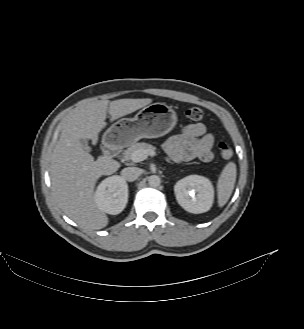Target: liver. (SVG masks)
Returning <instances> with one entry per match:
<instances>
[{
    "instance_id": "1",
    "label": "liver",
    "mask_w": 304,
    "mask_h": 329,
    "mask_svg": "<svg viewBox=\"0 0 304 329\" xmlns=\"http://www.w3.org/2000/svg\"><path fill=\"white\" fill-rule=\"evenodd\" d=\"M151 102L150 98L89 102L63 128L51 158V184L60 208L80 226L99 230L108 224L107 215L95 202L94 187L101 176L116 172L120 163L109 156H100L95 161L79 139H91L96 144L99 133L107 125V113L114 121Z\"/></svg>"
}]
</instances>
